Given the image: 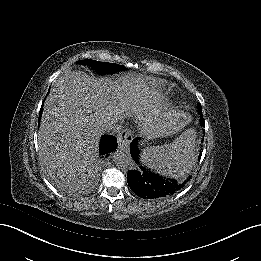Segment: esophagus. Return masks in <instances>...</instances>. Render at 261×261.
<instances>
[{"label":"esophagus","instance_id":"esophagus-1","mask_svg":"<svg viewBox=\"0 0 261 261\" xmlns=\"http://www.w3.org/2000/svg\"><path fill=\"white\" fill-rule=\"evenodd\" d=\"M132 140L131 131L124 130L119 134L118 146L120 150L127 151Z\"/></svg>","mask_w":261,"mask_h":261}]
</instances>
